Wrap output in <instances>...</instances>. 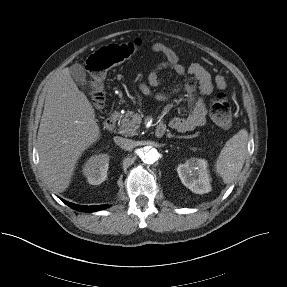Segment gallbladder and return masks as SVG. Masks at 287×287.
<instances>
[{
	"instance_id": "1",
	"label": "gallbladder",
	"mask_w": 287,
	"mask_h": 287,
	"mask_svg": "<svg viewBox=\"0 0 287 287\" xmlns=\"http://www.w3.org/2000/svg\"><path fill=\"white\" fill-rule=\"evenodd\" d=\"M70 74L76 83L82 87V89H86L87 84V75L86 70L81 64H74L70 67Z\"/></svg>"
}]
</instances>
